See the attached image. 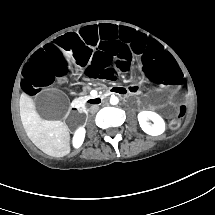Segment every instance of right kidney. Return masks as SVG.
Here are the masks:
<instances>
[{
	"label": "right kidney",
	"mask_w": 215,
	"mask_h": 215,
	"mask_svg": "<svg viewBox=\"0 0 215 215\" xmlns=\"http://www.w3.org/2000/svg\"><path fill=\"white\" fill-rule=\"evenodd\" d=\"M85 129L83 127L79 128L75 134H74V137H73V146L75 148H79L83 141H84V138H85Z\"/></svg>",
	"instance_id": "right-kidney-1"
}]
</instances>
